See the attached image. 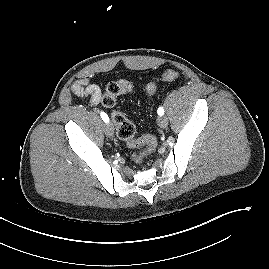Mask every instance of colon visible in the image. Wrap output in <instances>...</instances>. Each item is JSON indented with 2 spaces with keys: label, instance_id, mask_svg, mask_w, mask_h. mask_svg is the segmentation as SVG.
Segmentation results:
<instances>
[{
  "label": "colon",
  "instance_id": "colon-1",
  "mask_svg": "<svg viewBox=\"0 0 269 269\" xmlns=\"http://www.w3.org/2000/svg\"><path fill=\"white\" fill-rule=\"evenodd\" d=\"M179 77V73L175 70H167L162 74V81L171 82ZM130 82L126 80L112 81L105 89L102 96L101 103L106 108L115 106L117 98L131 90ZM157 89L156 83H150L147 86V92L151 95ZM112 121L116 127L118 137L123 140L129 147L136 148L146 146V151L133 152L131 154L132 161L137 165H142L144 162L146 152L153 150L156 145V139L153 136L147 135L140 138H135L134 124L122 113L114 112L111 116Z\"/></svg>",
  "mask_w": 269,
  "mask_h": 269
}]
</instances>
